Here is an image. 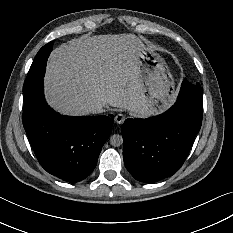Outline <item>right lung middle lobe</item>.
Here are the masks:
<instances>
[{"instance_id":"right-lung-middle-lobe-1","label":"right lung middle lobe","mask_w":233,"mask_h":233,"mask_svg":"<svg viewBox=\"0 0 233 233\" xmlns=\"http://www.w3.org/2000/svg\"><path fill=\"white\" fill-rule=\"evenodd\" d=\"M53 42L43 46L37 53L24 82V92L43 79L46 69L48 55L52 50Z\"/></svg>"}]
</instances>
